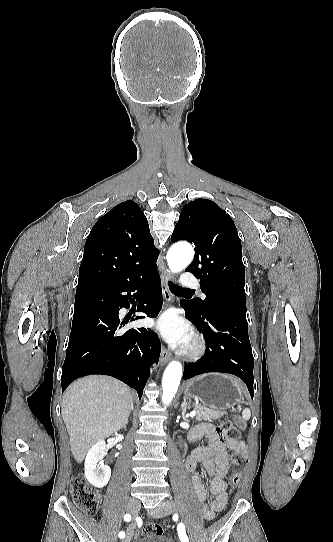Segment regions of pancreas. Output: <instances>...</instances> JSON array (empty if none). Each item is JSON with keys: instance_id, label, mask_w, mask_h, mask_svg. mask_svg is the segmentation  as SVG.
<instances>
[{"instance_id": "obj_1", "label": "pancreas", "mask_w": 333, "mask_h": 542, "mask_svg": "<svg viewBox=\"0 0 333 542\" xmlns=\"http://www.w3.org/2000/svg\"><path fill=\"white\" fill-rule=\"evenodd\" d=\"M226 414L227 412H215V410H209V408H202V406H199V408H196L195 420H197V422H202V420L214 422V420H219V418H223Z\"/></svg>"}]
</instances>
